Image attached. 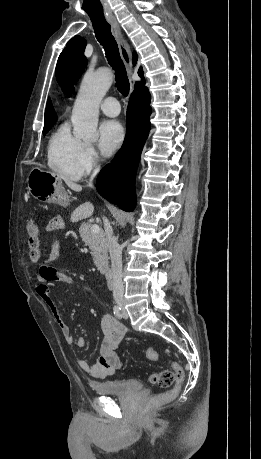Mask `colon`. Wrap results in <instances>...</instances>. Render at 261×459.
Segmentation results:
<instances>
[{
    "instance_id": "colon-1",
    "label": "colon",
    "mask_w": 261,
    "mask_h": 459,
    "mask_svg": "<svg viewBox=\"0 0 261 459\" xmlns=\"http://www.w3.org/2000/svg\"><path fill=\"white\" fill-rule=\"evenodd\" d=\"M27 221L28 222L26 223L25 227H20L19 234L20 236H27V249L30 251L29 258L32 261H43L47 258V255L41 247L43 242L41 241L40 228L36 222H29V219ZM146 356L150 360H157L159 358V354L154 348H148L146 351ZM183 378V369L177 363L172 365L171 370L152 372L149 379L153 384L161 388H172L164 393L151 397L149 404L151 406H155L175 398L179 392Z\"/></svg>"
}]
</instances>
